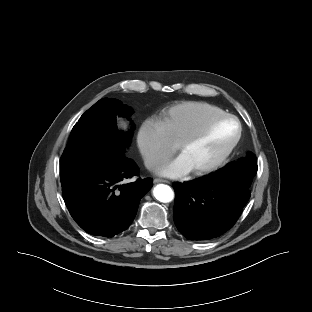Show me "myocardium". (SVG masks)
<instances>
[{
    "label": "myocardium",
    "instance_id": "f54148a6",
    "mask_svg": "<svg viewBox=\"0 0 312 312\" xmlns=\"http://www.w3.org/2000/svg\"><path fill=\"white\" fill-rule=\"evenodd\" d=\"M223 120H233L236 123L237 125L236 136L228 145V147L215 160H213L212 162H210L209 164L205 166L193 169L192 172L194 174L203 175V174H207L217 169L231 155V153L234 151V149L238 145L242 136V125H241L240 120L236 116L232 114H227V113L220 115V116L213 117L209 119L205 124H203L199 129L187 135L178 143V151L181 153L187 146L201 139L215 124Z\"/></svg>",
    "mask_w": 312,
    "mask_h": 312
}]
</instances>
